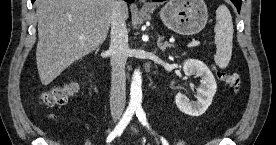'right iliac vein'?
Segmentation results:
<instances>
[{
    "label": "right iliac vein",
    "instance_id": "right-iliac-vein-1",
    "mask_svg": "<svg viewBox=\"0 0 276 145\" xmlns=\"http://www.w3.org/2000/svg\"><path fill=\"white\" fill-rule=\"evenodd\" d=\"M120 119V116H118V115H116L115 117H114V120L115 121H118Z\"/></svg>",
    "mask_w": 276,
    "mask_h": 145
}]
</instances>
